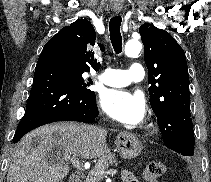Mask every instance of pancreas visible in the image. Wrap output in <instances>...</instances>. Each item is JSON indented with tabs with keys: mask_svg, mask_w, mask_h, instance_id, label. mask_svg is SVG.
Here are the masks:
<instances>
[{
	"mask_svg": "<svg viewBox=\"0 0 211 182\" xmlns=\"http://www.w3.org/2000/svg\"><path fill=\"white\" fill-rule=\"evenodd\" d=\"M113 164H117L115 154L109 153L103 155L98 160L95 167L88 173L83 182H101L105 177V170Z\"/></svg>",
	"mask_w": 211,
	"mask_h": 182,
	"instance_id": "cf45deb5",
	"label": "pancreas"
}]
</instances>
